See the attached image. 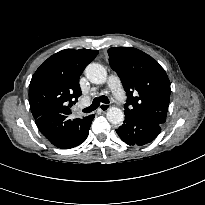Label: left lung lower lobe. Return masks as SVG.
<instances>
[{"label":"left lung lower lobe","mask_w":205,"mask_h":205,"mask_svg":"<svg viewBox=\"0 0 205 205\" xmlns=\"http://www.w3.org/2000/svg\"><path fill=\"white\" fill-rule=\"evenodd\" d=\"M161 131V124L125 114L117 134L128 145L142 146L152 142Z\"/></svg>","instance_id":"left-lung-lower-lobe-1"}]
</instances>
